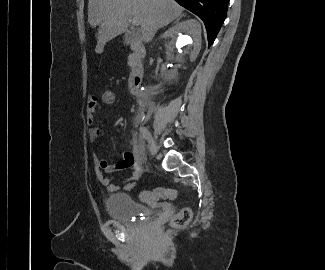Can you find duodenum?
I'll use <instances>...</instances> for the list:
<instances>
[{
  "mask_svg": "<svg viewBox=\"0 0 325 270\" xmlns=\"http://www.w3.org/2000/svg\"><path fill=\"white\" fill-rule=\"evenodd\" d=\"M145 54L146 49L141 42H133L131 44V73L129 77V85L132 93L138 96L139 98L144 80L143 59Z\"/></svg>",
  "mask_w": 325,
  "mask_h": 270,
  "instance_id": "obj_1",
  "label": "duodenum"
}]
</instances>
